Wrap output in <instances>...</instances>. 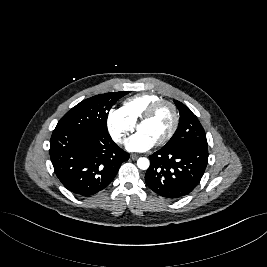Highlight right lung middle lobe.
I'll use <instances>...</instances> for the list:
<instances>
[{"instance_id":"dd1d6c3e","label":"right lung middle lobe","mask_w":267,"mask_h":267,"mask_svg":"<svg viewBox=\"0 0 267 267\" xmlns=\"http://www.w3.org/2000/svg\"><path fill=\"white\" fill-rule=\"evenodd\" d=\"M128 93L129 91L105 93L83 100L60 119L55 129L108 132V112L117 100Z\"/></svg>"}]
</instances>
